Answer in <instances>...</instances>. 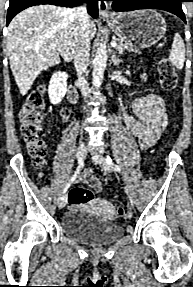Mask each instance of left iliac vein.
<instances>
[{"instance_id":"4c4485c4","label":"left iliac vein","mask_w":193,"mask_h":287,"mask_svg":"<svg viewBox=\"0 0 193 287\" xmlns=\"http://www.w3.org/2000/svg\"><path fill=\"white\" fill-rule=\"evenodd\" d=\"M93 161L98 164L105 172L110 173L112 171L111 165L107 162L106 158L101 154H94L92 156ZM130 204L133 206L134 201L129 197Z\"/></svg>"}]
</instances>
